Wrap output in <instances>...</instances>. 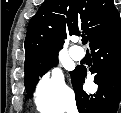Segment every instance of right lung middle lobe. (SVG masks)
<instances>
[{
  "label": "right lung middle lobe",
  "instance_id": "right-lung-middle-lobe-1",
  "mask_svg": "<svg viewBox=\"0 0 121 113\" xmlns=\"http://www.w3.org/2000/svg\"><path fill=\"white\" fill-rule=\"evenodd\" d=\"M57 56L58 55L43 59L34 66L25 69V89L28 95H33L34 88L39 81V77H42V75L50 68L56 66L58 63Z\"/></svg>",
  "mask_w": 121,
  "mask_h": 113
}]
</instances>
